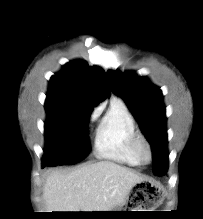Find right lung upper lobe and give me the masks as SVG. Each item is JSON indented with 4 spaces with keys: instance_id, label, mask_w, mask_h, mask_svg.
<instances>
[{
    "instance_id": "right-lung-upper-lobe-1",
    "label": "right lung upper lobe",
    "mask_w": 203,
    "mask_h": 219,
    "mask_svg": "<svg viewBox=\"0 0 203 219\" xmlns=\"http://www.w3.org/2000/svg\"><path fill=\"white\" fill-rule=\"evenodd\" d=\"M109 94L104 71L97 66L89 67L82 60L67 63L49 81L48 95L76 100L92 108Z\"/></svg>"
}]
</instances>
